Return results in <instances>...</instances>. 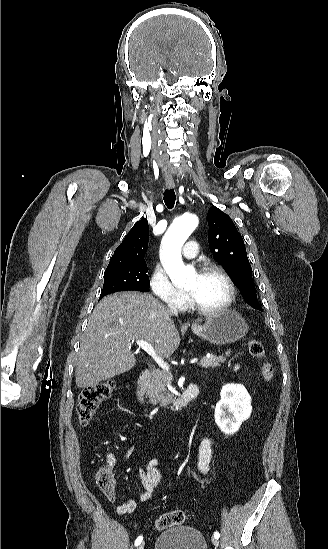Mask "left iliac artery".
Returning <instances> with one entry per match:
<instances>
[{
	"instance_id": "44dca946",
	"label": "left iliac artery",
	"mask_w": 328,
	"mask_h": 549,
	"mask_svg": "<svg viewBox=\"0 0 328 549\" xmlns=\"http://www.w3.org/2000/svg\"><path fill=\"white\" fill-rule=\"evenodd\" d=\"M214 537L218 539V538L220 537L219 532L216 531V532L214 533Z\"/></svg>"
}]
</instances>
